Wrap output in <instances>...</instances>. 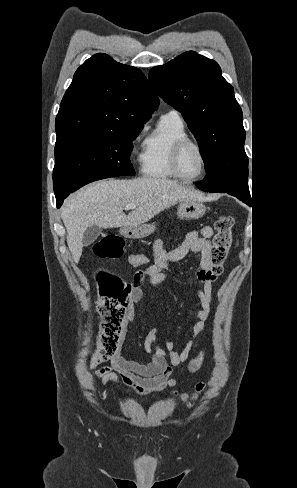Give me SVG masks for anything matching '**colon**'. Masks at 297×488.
I'll use <instances>...</instances> for the list:
<instances>
[{
	"instance_id": "colon-1",
	"label": "colon",
	"mask_w": 297,
	"mask_h": 488,
	"mask_svg": "<svg viewBox=\"0 0 297 488\" xmlns=\"http://www.w3.org/2000/svg\"><path fill=\"white\" fill-rule=\"evenodd\" d=\"M234 219L231 216L219 214L215 221V235L210 254L209 273L217 278L223 271L231 245ZM94 253L100 258L117 259L123 255V240L118 235H107L94 245ZM141 279V271L137 273ZM96 278L99 283L97 300L98 311L101 316L100 333L97 341L93 364H98L119 350L120 339L123 335L128 299L132 292V283H125L117 274L103 268H98ZM204 384L196 386L194 393L187 397L182 395L185 402L197 399L204 391Z\"/></svg>"
}]
</instances>
